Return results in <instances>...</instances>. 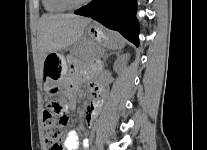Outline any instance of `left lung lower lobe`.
<instances>
[{"instance_id":"obj_1","label":"left lung lower lobe","mask_w":207,"mask_h":150,"mask_svg":"<svg viewBox=\"0 0 207 150\" xmlns=\"http://www.w3.org/2000/svg\"><path fill=\"white\" fill-rule=\"evenodd\" d=\"M135 12V0H93L76 10L75 14L91 17L107 28L119 31L138 46L139 29Z\"/></svg>"}]
</instances>
